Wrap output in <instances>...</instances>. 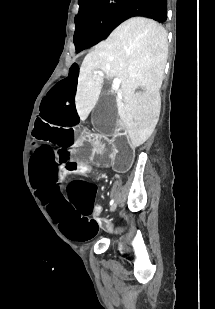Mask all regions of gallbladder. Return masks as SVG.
Instances as JSON below:
<instances>
[{"instance_id": "gallbladder-1", "label": "gallbladder", "mask_w": 215, "mask_h": 309, "mask_svg": "<svg viewBox=\"0 0 215 309\" xmlns=\"http://www.w3.org/2000/svg\"><path fill=\"white\" fill-rule=\"evenodd\" d=\"M94 110V122L97 123V130L101 136H108L111 128L115 127L117 120V102L114 92L101 94Z\"/></svg>"}]
</instances>
